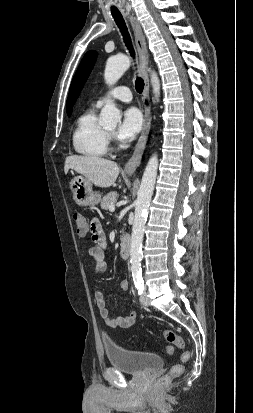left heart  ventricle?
Masks as SVG:
<instances>
[{"label":"left heart ventricle","mask_w":253,"mask_h":413,"mask_svg":"<svg viewBox=\"0 0 253 413\" xmlns=\"http://www.w3.org/2000/svg\"><path fill=\"white\" fill-rule=\"evenodd\" d=\"M108 130H109V131H113V130H114V127H109Z\"/></svg>","instance_id":"left-heart-ventricle-1"}]
</instances>
